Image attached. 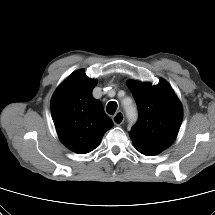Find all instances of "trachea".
I'll use <instances>...</instances> for the list:
<instances>
[{
    "mask_svg": "<svg viewBox=\"0 0 215 215\" xmlns=\"http://www.w3.org/2000/svg\"><path fill=\"white\" fill-rule=\"evenodd\" d=\"M117 109V103L115 101H110L108 104H107V113H109L110 115H114L115 111Z\"/></svg>",
    "mask_w": 215,
    "mask_h": 215,
    "instance_id": "3493384b",
    "label": "trachea"
}]
</instances>
